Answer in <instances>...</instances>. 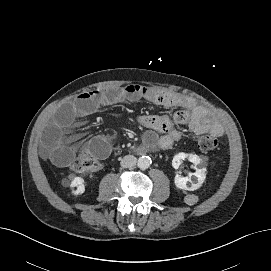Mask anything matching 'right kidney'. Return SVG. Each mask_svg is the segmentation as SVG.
Segmentation results:
<instances>
[{"mask_svg": "<svg viewBox=\"0 0 271 271\" xmlns=\"http://www.w3.org/2000/svg\"><path fill=\"white\" fill-rule=\"evenodd\" d=\"M93 175H90V178H92ZM85 185L86 183L84 182L83 178L81 177H75L72 181H71V187H77L76 190H73V193L75 195L78 194H82L85 191Z\"/></svg>", "mask_w": 271, "mask_h": 271, "instance_id": "1", "label": "right kidney"}]
</instances>
